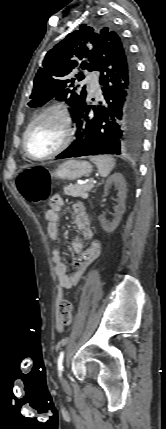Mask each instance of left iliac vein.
Segmentation results:
<instances>
[{"label": "left iliac vein", "mask_w": 166, "mask_h": 429, "mask_svg": "<svg viewBox=\"0 0 166 429\" xmlns=\"http://www.w3.org/2000/svg\"><path fill=\"white\" fill-rule=\"evenodd\" d=\"M62 383H63V384H66V383H67V382H66V380H65L64 378L62 379Z\"/></svg>", "instance_id": "obj_1"}]
</instances>
